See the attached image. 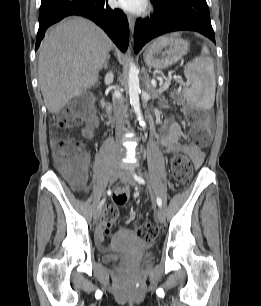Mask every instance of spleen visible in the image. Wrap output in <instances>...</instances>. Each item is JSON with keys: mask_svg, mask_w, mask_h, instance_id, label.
<instances>
[{"mask_svg": "<svg viewBox=\"0 0 261 306\" xmlns=\"http://www.w3.org/2000/svg\"><path fill=\"white\" fill-rule=\"evenodd\" d=\"M178 35L180 33L173 34ZM184 74L191 84L183 90L187 101L202 109H211L215 101L216 80L214 63L205 45L202 46L201 55L186 64Z\"/></svg>", "mask_w": 261, "mask_h": 306, "instance_id": "spleen-1", "label": "spleen"}]
</instances>
